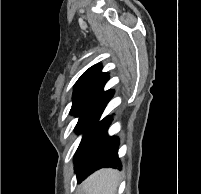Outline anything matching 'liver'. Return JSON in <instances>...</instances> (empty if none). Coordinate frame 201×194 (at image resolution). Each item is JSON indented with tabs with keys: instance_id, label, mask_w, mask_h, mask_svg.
Here are the masks:
<instances>
[{
	"instance_id": "6515ba94",
	"label": "liver",
	"mask_w": 201,
	"mask_h": 194,
	"mask_svg": "<svg viewBox=\"0 0 201 194\" xmlns=\"http://www.w3.org/2000/svg\"><path fill=\"white\" fill-rule=\"evenodd\" d=\"M120 181V173L115 169H101L88 177L82 190L85 194H115Z\"/></svg>"
}]
</instances>
